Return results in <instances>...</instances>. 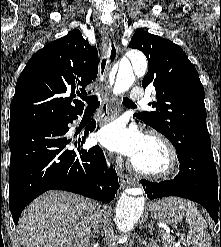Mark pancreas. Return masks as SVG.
Listing matches in <instances>:
<instances>
[{"label":"pancreas","mask_w":221,"mask_h":247,"mask_svg":"<svg viewBox=\"0 0 221 247\" xmlns=\"http://www.w3.org/2000/svg\"><path fill=\"white\" fill-rule=\"evenodd\" d=\"M164 246H165V247H173V245H172V244H169L168 242H167V243L165 242V243H164Z\"/></svg>","instance_id":"obj_1"}]
</instances>
